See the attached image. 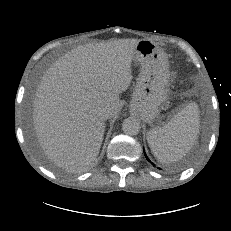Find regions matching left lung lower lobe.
Masks as SVG:
<instances>
[{"instance_id": "left-lung-lower-lobe-1", "label": "left lung lower lobe", "mask_w": 231, "mask_h": 231, "mask_svg": "<svg viewBox=\"0 0 231 231\" xmlns=\"http://www.w3.org/2000/svg\"><path fill=\"white\" fill-rule=\"evenodd\" d=\"M145 157H146V159L151 163V161L148 159V157L146 156V154H145ZM152 165H154V164L152 163Z\"/></svg>"}]
</instances>
